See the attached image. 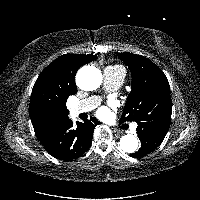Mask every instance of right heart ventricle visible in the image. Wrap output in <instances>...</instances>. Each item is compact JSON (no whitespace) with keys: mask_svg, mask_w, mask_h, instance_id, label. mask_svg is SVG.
<instances>
[{"mask_svg":"<svg viewBox=\"0 0 200 200\" xmlns=\"http://www.w3.org/2000/svg\"><path fill=\"white\" fill-rule=\"evenodd\" d=\"M107 68L113 69V70L118 71L120 73H123L125 75V69L122 65L115 64V65H112V66H108Z\"/></svg>","mask_w":200,"mask_h":200,"instance_id":"e07e8e85","label":"right heart ventricle"}]
</instances>
